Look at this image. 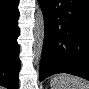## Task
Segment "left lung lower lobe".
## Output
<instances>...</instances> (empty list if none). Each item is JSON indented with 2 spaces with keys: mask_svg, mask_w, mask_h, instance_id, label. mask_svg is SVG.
I'll return each mask as SVG.
<instances>
[{
  "mask_svg": "<svg viewBox=\"0 0 89 89\" xmlns=\"http://www.w3.org/2000/svg\"><path fill=\"white\" fill-rule=\"evenodd\" d=\"M45 34L39 80L68 73L89 80V0H39Z\"/></svg>",
  "mask_w": 89,
  "mask_h": 89,
  "instance_id": "left-lung-lower-lobe-1",
  "label": "left lung lower lobe"
}]
</instances>
